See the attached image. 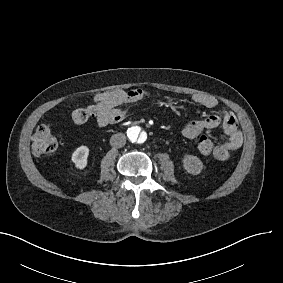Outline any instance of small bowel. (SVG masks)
<instances>
[{"mask_svg": "<svg viewBox=\"0 0 283 283\" xmlns=\"http://www.w3.org/2000/svg\"><path fill=\"white\" fill-rule=\"evenodd\" d=\"M148 96V92L142 89L116 88L97 93L94 96L92 108L95 121L100 127L120 123L138 102ZM192 100L206 108H215L219 104L215 97L202 93L194 94ZM219 126L223 128L224 138L218 143V149L212 156L219 161H226L231 152L243 144L242 132L239 129L237 118L231 110L221 108L219 112L210 114L203 120L191 121L182 129V134L190 139L191 133L196 129H214Z\"/></svg>", "mask_w": 283, "mask_h": 283, "instance_id": "small-bowel-1", "label": "small bowel"}]
</instances>
